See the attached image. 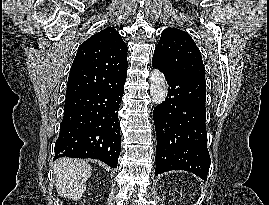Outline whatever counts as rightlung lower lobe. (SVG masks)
<instances>
[{
  "instance_id": "1",
  "label": "right lung lower lobe",
  "mask_w": 269,
  "mask_h": 205,
  "mask_svg": "<svg viewBox=\"0 0 269 205\" xmlns=\"http://www.w3.org/2000/svg\"><path fill=\"white\" fill-rule=\"evenodd\" d=\"M127 72L116 86L66 96L55 157L93 158L117 168L121 150L119 105Z\"/></svg>"
}]
</instances>
